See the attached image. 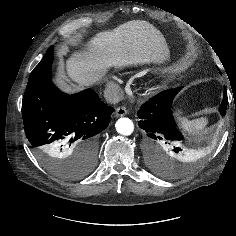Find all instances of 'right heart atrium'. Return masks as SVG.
<instances>
[{"label":"right heart atrium","mask_w":236,"mask_h":236,"mask_svg":"<svg viewBox=\"0 0 236 236\" xmlns=\"http://www.w3.org/2000/svg\"><path fill=\"white\" fill-rule=\"evenodd\" d=\"M109 87H110L111 90H114V89H115L114 83L111 82V83L109 84Z\"/></svg>","instance_id":"d8ad5b80"}]
</instances>
